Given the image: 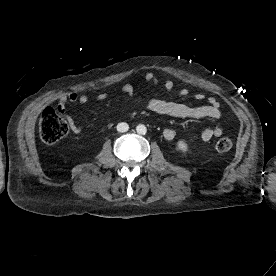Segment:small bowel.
Listing matches in <instances>:
<instances>
[{
    "label": "small bowel",
    "instance_id": "small-bowel-1",
    "mask_svg": "<svg viewBox=\"0 0 276 276\" xmlns=\"http://www.w3.org/2000/svg\"><path fill=\"white\" fill-rule=\"evenodd\" d=\"M159 81L158 77L154 73H147L144 77L143 83L144 85L150 86L152 84H157ZM164 86L167 92H171L173 90L174 84L173 81L170 79H166L164 81ZM120 93L125 94L131 97L134 93L133 87L131 85H124ZM189 95V90L186 88L181 89L178 92V96L180 98H184ZM110 95L107 93H100L97 95V99L99 101L106 100ZM195 100L201 101L206 98V96L202 93L196 94L194 96ZM71 103H80L86 104L88 102V97L83 94H78L75 92H71L66 95H61L58 99V108L61 112L65 111L66 105ZM147 108L154 113L166 115L175 118H189V119H203V118H210V119H219L221 117V110L219 103L213 97L208 99V104L206 105H199V106H189L184 103L175 102V101H168L163 99H151L148 104ZM70 129L73 133L78 134L81 132L80 126L75 122V120L69 116L65 115ZM223 128L221 126H217L214 128H206L201 132V139L204 142L211 140L213 137H219L223 134ZM163 137L170 141L173 140L175 137V131L173 129L167 128L163 131Z\"/></svg>",
    "mask_w": 276,
    "mask_h": 276
}]
</instances>
